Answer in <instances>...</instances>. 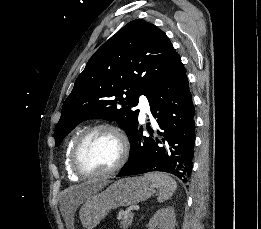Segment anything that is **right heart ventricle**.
<instances>
[{
	"instance_id": "1",
	"label": "right heart ventricle",
	"mask_w": 261,
	"mask_h": 229,
	"mask_svg": "<svg viewBox=\"0 0 261 229\" xmlns=\"http://www.w3.org/2000/svg\"><path fill=\"white\" fill-rule=\"evenodd\" d=\"M81 134V130L76 131L69 141L67 142L66 148H65V156H64V164L66 167L67 172L72 175L78 177V174L72 169L70 165V152H71V147L75 140L78 138V136Z\"/></svg>"
}]
</instances>
